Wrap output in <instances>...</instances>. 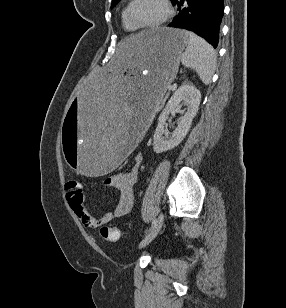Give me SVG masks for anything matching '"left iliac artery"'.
<instances>
[{
    "instance_id": "left-iliac-artery-1",
    "label": "left iliac artery",
    "mask_w": 286,
    "mask_h": 308,
    "mask_svg": "<svg viewBox=\"0 0 286 308\" xmlns=\"http://www.w3.org/2000/svg\"><path fill=\"white\" fill-rule=\"evenodd\" d=\"M155 223H156V219H153V221H152V227L154 226ZM152 227L149 228V229L146 231V234L152 229Z\"/></svg>"
}]
</instances>
